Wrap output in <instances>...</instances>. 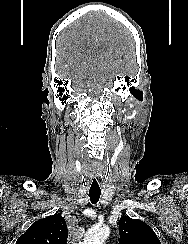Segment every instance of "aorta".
<instances>
[{"label":"aorta","instance_id":"1","mask_svg":"<svg viewBox=\"0 0 188 244\" xmlns=\"http://www.w3.org/2000/svg\"><path fill=\"white\" fill-rule=\"evenodd\" d=\"M110 234V229L106 225H95L88 229L82 244H104Z\"/></svg>","mask_w":188,"mask_h":244}]
</instances>
